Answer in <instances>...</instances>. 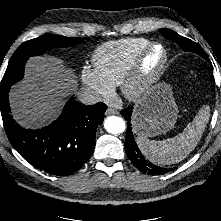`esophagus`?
<instances>
[{"label": "esophagus", "mask_w": 221, "mask_h": 221, "mask_svg": "<svg viewBox=\"0 0 221 221\" xmlns=\"http://www.w3.org/2000/svg\"><path fill=\"white\" fill-rule=\"evenodd\" d=\"M114 114H118V110L117 109L109 107L106 110V115H114Z\"/></svg>", "instance_id": "obj_1"}]
</instances>
